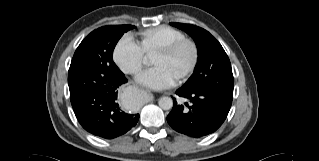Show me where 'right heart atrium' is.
I'll use <instances>...</instances> for the list:
<instances>
[{
	"label": "right heart atrium",
	"mask_w": 319,
	"mask_h": 161,
	"mask_svg": "<svg viewBox=\"0 0 319 161\" xmlns=\"http://www.w3.org/2000/svg\"><path fill=\"white\" fill-rule=\"evenodd\" d=\"M113 57L121 71L137 74L144 63V52L141 47L129 36H123L114 46Z\"/></svg>",
	"instance_id": "d8ad5b80"
}]
</instances>
